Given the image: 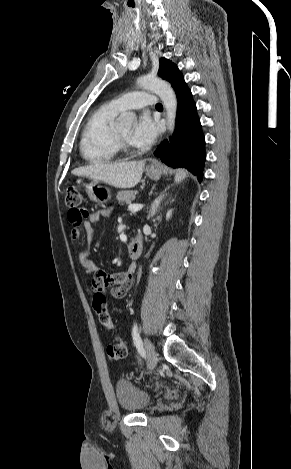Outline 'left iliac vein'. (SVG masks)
<instances>
[{
    "mask_svg": "<svg viewBox=\"0 0 291 469\" xmlns=\"http://www.w3.org/2000/svg\"><path fill=\"white\" fill-rule=\"evenodd\" d=\"M144 342H145V348L147 351V356H148V361H149V368L153 369L157 364V360H158L157 354L153 348L152 343L148 339H145Z\"/></svg>",
    "mask_w": 291,
    "mask_h": 469,
    "instance_id": "1",
    "label": "left iliac vein"
}]
</instances>
